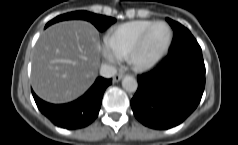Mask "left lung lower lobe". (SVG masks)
Returning a JSON list of instances; mask_svg holds the SVG:
<instances>
[{
  "label": "left lung lower lobe",
  "mask_w": 238,
  "mask_h": 145,
  "mask_svg": "<svg viewBox=\"0 0 238 145\" xmlns=\"http://www.w3.org/2000/svg\"><path fill=\"white\" fill-rule=\"evenodd\" d=\"M174 42L167 56L152 70L138 76L131 100L135 117L153 129H169L182 123L198 106L205 88L201 47L189 40L191 32L169 20Z\"/></svg>",
  "instance_id": "1"
}]
</instances>
